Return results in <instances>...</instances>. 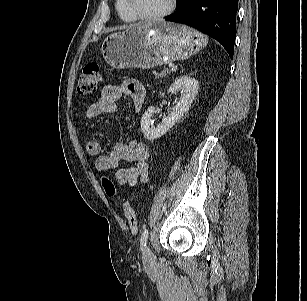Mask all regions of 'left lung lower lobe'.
<instances>
[{
  "label": "left lung lower lobe",
  "mask_w": 307,
  "mask_h": 301,
  "mask_svg": "<svg viewBox=\"0 0 307 301\" xmlns=\"http://www.w3.org/2000/svg\"><path fill=\"white\" fill-rule=\"evenodd\" d=\"M167 21L187 24L216 39L233 58L238 0H178Z\"/></svg>",
  "instance_id": "left-lung-lower-lobe-1"
}]
</instances>
